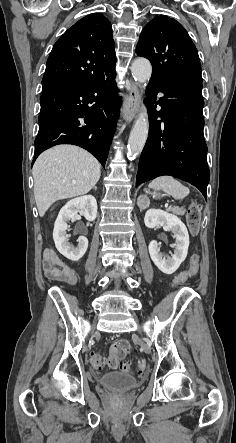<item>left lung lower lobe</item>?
<instances>
[{"mask_svg": "<svg viewBox=\"0 0 236 443\" xmlns=\"http://www.w3.org/2000/svg\"><path fill=\"white\" fill-rule=\"evenodd\" d=\"M158 92L164 96L155 101ZM146 94L149 135L139 160L136 187L170 175L197 187L207 200L210 171L203 135L202 82L150 80Z\"/></svg>", "mask_w": 236, "mask_h": 443, "instance_id": "obj_1", "label": "left lung lower lobe"}]
</instances>
